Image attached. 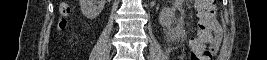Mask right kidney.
<instances>
[{"label":"right kidney","instance_id":"1","mask_svg":"<svg viewBox=\"0 0 267 60\" xmlns=\"http://www.w3.org/2000/svg\"><path fill=\"white\" fill-rule=\"evenodd\" d=\"M106 0H80L82 14L88 19H95L103 10Z\"/></svg>","mask_w":267,"mask_h":60}]
</instances>
